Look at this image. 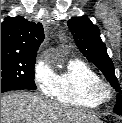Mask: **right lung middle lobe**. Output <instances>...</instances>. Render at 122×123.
Masks as SVG:
<instances>
[{
	"label": "right lung middle lobe",
	"instance_id": "obj_1",
	"mask_svg": "<svg viewBox=\"0 0 122 123\" xmlns=\"http://www.w3.org/2000/svg\"><path fill=\"white\" fill-rule=\"evenodd\" d=\"M35 59L36 56L1 54V85L35 90Z\"/></svg>",
	"mask_w": 122,
	"mask_h": 123
}]
</instances>
